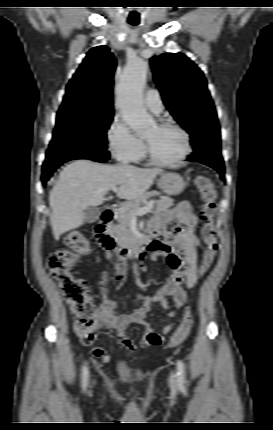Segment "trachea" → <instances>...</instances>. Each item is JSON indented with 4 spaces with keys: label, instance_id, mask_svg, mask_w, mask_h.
<instances>
[{
    "label": "trachea",
    "instance_id": "3493384b",
    "mask_svg": "<svg viewBox=\"0 0 273 430\" xmlns=\"http://www.w3.org/2000/svg\"><path fill=\"white\" fill-rule=\"evenodd\" d=\"M131 25L136 26L137 24L131 23Z\"/></svg>",
    "mask_w": 273,
    "mask_h": 430
}]
</instances>
